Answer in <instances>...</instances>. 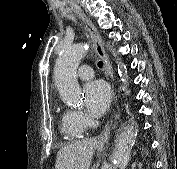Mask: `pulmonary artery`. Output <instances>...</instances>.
I'll list each match as a JSON object with an SVG mask.
<instances>
[{"label":"pulmonary artery","mask_w":177,"mask_h":169,"mask_svg":"<svg viewBox=\"0 0 177 169\" xmlns=\"http://www.w3.org/2000/svg\"><path fill=\"white\" fill-rule=\"evenodd\" d=\"M77 76L80 80H89L93 77V69L88 65L79 67Z\"/></svg>","instance_id":"1"}]
</instances>
